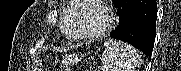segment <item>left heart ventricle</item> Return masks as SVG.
Masks as SVG:
<instances>
[{
  "mask_svg": "<svg viewBox=\"0 0 181 71\" xmlns=\"http://www.w3.org/2000/svg\"><path fill=\"white\" fill-rule=\"evenodd\" d=\"M107 14L96 4L85 6L79 15L78 31L91 34L101 30L107 23Z\"/></svg>",
  "mask_w": 181,
  "mask_h": 71,
  "instance_id": "1",
  "label": "left heart ventricle"
}]
</instances>
